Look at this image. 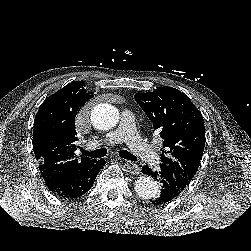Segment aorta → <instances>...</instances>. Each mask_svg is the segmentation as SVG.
Here are the masks:
<instances>
[{
  "label": "aorta",
  "mask_w": 251,
  "mask_h": 251,
  "mask_svg": "<svg viewBox=\"0 0 251 251\" xmlns=\"http://www.w3.org/2000/svg\"><path fill=\"white\" fill-rule=\"evenodd\" d=\"M120 114L114 106L103 103L94 107L91 112V121L99 130H109L117 125ZM136 194L143 199L156 197L160 192L159 183L151 177H140L135 181Z\"/></svg>",
  "instance_id": "1"
}]
</instances>
